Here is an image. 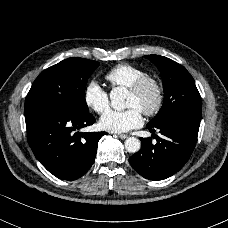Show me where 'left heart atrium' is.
Segmentation results:
<instances>
[{"instance_id":"obj_1","label":"left heart atrium","mask_w":228,"mask_h":228,"mask_svg":"<svg viewBox=\"0 0 228 228\" xmlns=\"http://www.w3.org/2000/svg\"><path fill=\"white\" fill-rule=\"evenodd\" d=\"M143 124L140 109L109 110L100 119V126L111 133H124Z\"/></svg>"}]
</instances>
